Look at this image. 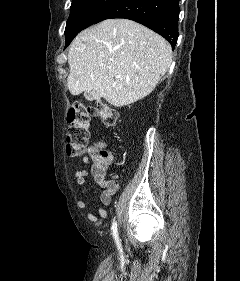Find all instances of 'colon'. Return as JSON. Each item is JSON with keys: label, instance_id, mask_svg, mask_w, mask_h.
<instances>
[{"label": "colon", "instance_id": "colon-1", "mask_svg": "<svg viewBox=\"0 0 240 281\" xmlns=\"http://www.w3.org/2000/svg\"><path fill=\"white\" fill-rule=\"evenodd\" d=\"M93 117L98 118L108 128L117 123V113L109 105L98 103L88 106L76 102L67 114L66 152L70 157H91L94 168L104 173L111 161V155L103 148L102 143L89 144V123Z\"/></svg>", "mask_w": 240, "mask_h": 281}]
</instances>
